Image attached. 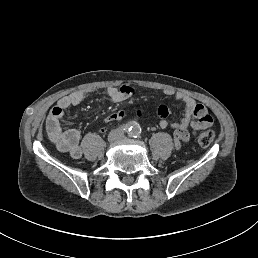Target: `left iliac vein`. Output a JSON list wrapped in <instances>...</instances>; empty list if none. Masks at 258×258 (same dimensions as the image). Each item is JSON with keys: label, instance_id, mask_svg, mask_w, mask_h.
I'll list each match as a JSON object with an SVG mask.
<instances>
[{"label": "left iliac vein", "instance_id": "left-iliac-vein-1", "mask_svg": "<svg viewBox=\"0 0 258 258\" xmlns=\"http://www.w3.org/2000/svg\"><path fill=\"white\" fill-rule=\"evenodd\" d=\"M117 133L119 134V135H118V138H119L120 140H123V139L125 138V135L123 134V133H124V130H123L122 128H119V129L117 130Z\"/></svg>", "mask_w": 258, "mask_h": 258}]
</instances>
